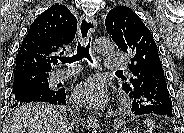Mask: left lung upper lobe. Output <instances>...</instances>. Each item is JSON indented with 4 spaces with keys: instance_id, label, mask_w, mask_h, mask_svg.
<instances>
[{
    "instance_id": "5c2ea615",
    "label": "left lung upper lobe",
    "mask_w": 184,
    "mask_h": 133,
    "mask_svg": "<svg viewBox=\"0 0 184 133\" xmlns=\"http://www.w3.org/2000/svg\"><path fill=\"white\" fill-rule=\"evenodd\" d=\"M105 25L118 48L132 56L129 68L133 77L129 80L130 84L123 83L122 86L126 93L135 91L146 80V75L156 71L148 66L153 53L158 55L153 36L139 17L126 6L110 10Z\"/></svg>"
}]
</instances>
